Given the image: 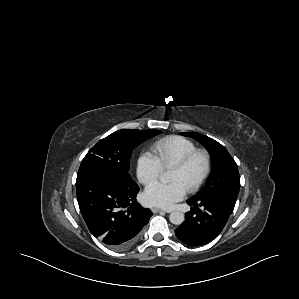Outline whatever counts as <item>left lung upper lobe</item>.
Here are the masks:
<instances>
[{
  "mask_svg": "<svg viewBox=\"0 0 299 299\" xmlns=\"http://www.w3.org/2000/svg\"><path fill=\"white\" fill-rule=\"evenodd\" d=\"M194 137L210 152L213 159V172L203 189L193 197L201 200L220 198L235 206L240 188L237 164L224 146L205 135L196 132L181 133Z\"/></svg>",
  "mask_w": 299,
  "mask_h": 299,
  "instance_id": "1",
  "label": "left lung upper lobe"
}]
</instances>
